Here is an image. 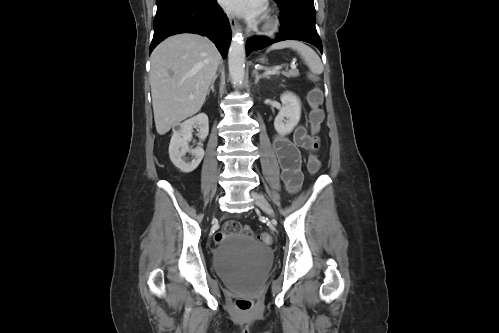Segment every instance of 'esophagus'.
<instances>
[{
  "mask_svg": "<svg viewBox=\"0 0 499 333\" xmlns=\"http://www.w3.org/2000/svg\"><path fill=\"white\" fill-rule=\"evenodd\" d=\"M229 22H230L233 33H236L239 30V24H238L237 20L235 19V17L230 16Z\"/></svg>",
  "mask_w": 499,
  "mask_h": 333,
  "instance_id": "obj_1",
  "label": "esophagus"
}]
</instances>
